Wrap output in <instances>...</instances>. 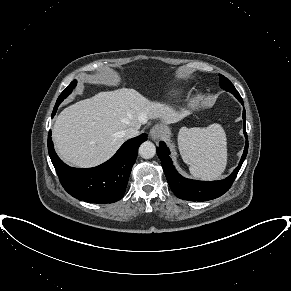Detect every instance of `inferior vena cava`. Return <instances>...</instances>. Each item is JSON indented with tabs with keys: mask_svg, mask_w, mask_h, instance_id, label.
<instances>
[{
	"mask_svg": "<svg viewBox=\"0 0 291 291\" xmlns=\"http://www.w3.org/2000/svg\"><path fill=\"white\" fill-rule=\"evenodd\" d=\"M137 134H138V129L134 127H129L122 131V136L127 139L132 138Z\"/></svg>",
	"mask_w": 291,
	"mask_h": 291,
	"instance_id": "602c4592",
	"label": "inferior vena cava"
}]
</instances>
